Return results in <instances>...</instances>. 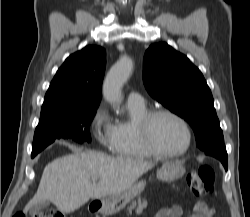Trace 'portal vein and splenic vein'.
<instances>
[{"mask_svg": "<svg viewBox=\"0 0 250 217\" xmlns=\"http://www.w3.org/2000/svg\"><path fill=\"white\" fill-rule=\"evenodd\" d=\"M92 180H93V183H96L98 179L97 178H93Z\"/></svg>", "mask_w": 250, "mask_h": 217, "instance_id": "18ae733b", "label": "portal vein and splenic vein"}]
</instances>
